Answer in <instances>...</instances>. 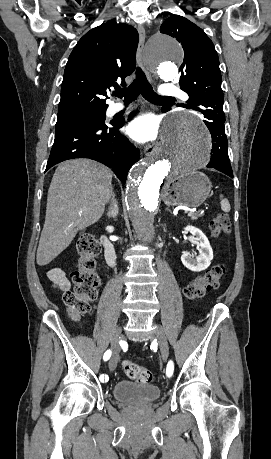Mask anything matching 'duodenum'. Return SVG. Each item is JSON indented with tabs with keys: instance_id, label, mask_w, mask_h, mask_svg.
<instances>
[{
	"instance_id": "duodenum-1",
	"label": "duodenum",
	"mask_w": 271,
	"mask_h": 459,
	"mask_svg": "<svg viewBox=\"0 0 271 459\" xmlns=\"http://www.w3.org/2000/svg\"><path fill=\"white\" fill-rule=\"evenodd\" d=\"M101 242L104 246V254H105L106 262L111 267L115 266L117 256H116V251H115V247L113 243L106 235L101 236Z\"/></svg>"
}]
</instances>
